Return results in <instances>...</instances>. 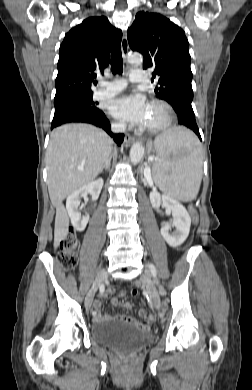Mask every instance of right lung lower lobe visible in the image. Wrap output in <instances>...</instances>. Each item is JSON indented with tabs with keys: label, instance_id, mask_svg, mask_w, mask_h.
Masks as SVG:
<instances>
[{
	"label": "right lung lower lobe",
	"instance_id": "98d812e1",
	"mask_svg": "<svg viewBox=\"0 0 252 390\" xmlns=\"http://www.w3.org/2000/svg\"><path fill=\"white\" fill-rule=\"evenodd\" d=\"M71 122L90 123L95 126L101 127L111 137H113L114 141L118 145H121V143L123 142L124 134L122 133L114 134L111 132L109 121L101 110L93 111V110H87V109L76 108V107L55 110L51 129L61 124L71 123Z\"/></svg>",
	"mask_w": 252,
	"mask_h": 390
}]
</instances>
